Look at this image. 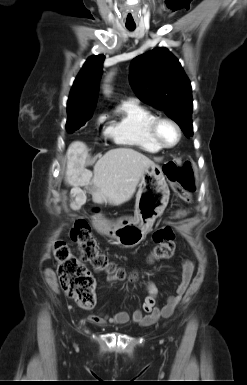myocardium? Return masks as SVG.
Listing matches in <instances>:
<instances>
[{
    "label": "myocardium",
    "instance_id": "f54148a6",
    "mask_svg": "<svg viewBox=\"0 0 247 385\" xmlns=\"http://www.w3.org/2000/svg\"><path fill=\"white\" fill-rule=\"evenodd\" d=\"M163 123H168V124L172 125L174 127V129L176 130V132H177V140L173 144H171V145L165 144L160 139L159 128H160V125L163 124ZM149 133H150V136H151L152 140L161 149H172V148L176 147L179 144V142L181 141V138H182V130H181L180 126L178 125V123L175 120H173L172 118H169V117L156 116L151 121V123L149 125Z\"/></svg>",
    "mask_w": 247,
    "mask_h": 385
}]
</instances>
